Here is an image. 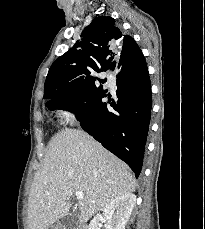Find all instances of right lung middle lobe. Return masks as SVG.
<instances>
[{
  "label": "right lung middle lobe",
  "mask_w": 205,
  "mask_h": 229,
  "mask_svg": "<svg viewBox=\"0 0 205 229\" xmlns=\"http://www.w3.org/2000/svg\"><path fill=\"white\" fill-rule=\"evenodd\" d=\"M97 80L99 82H104V80H101V79H96L95 81H93L91 84H82L80 85L73 93H71L70 95H67V96H64V97H59L61 98V100L63 102H69L72 98L74 97H77V96H80L86 92H88L89 90L97 87L96 84H97ZM101 86V85H100ZM48 106V105H47Z\"/></svg>",
  "instance_id": "obj_1"
}]
</instances>
